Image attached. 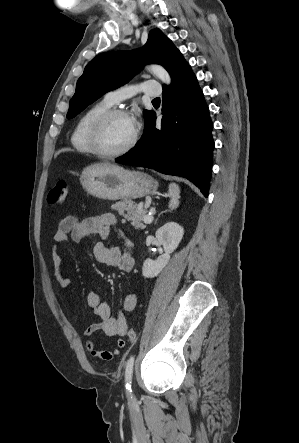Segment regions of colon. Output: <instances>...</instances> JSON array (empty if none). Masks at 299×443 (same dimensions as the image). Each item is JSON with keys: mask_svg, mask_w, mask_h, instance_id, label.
Here are the masks:
<instances>
[{"mask_svg": "<svg viewBox=\"0 0 299 443\" xmlns=\"http://www.w3.org/2000/svg\"><path fill=\"white\" fill-rule=\"evenodd\" d=\"M68 195V184L64 180L57 181L48 193L47 202L49 206L61 205L65 202ZM126 338L129 342L135 343L137 341V332L130 328L126 331Z\"/></svg>", "mask_w": 299, "mask_h": 443, "instance_id": "colon-1", "label": "colon"}]
</instances>
